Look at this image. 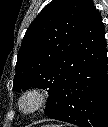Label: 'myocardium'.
Listing matches in <instances>:
<instances>
[{
    "label": "myocardium",
    "instance_id": "f54148a6",
    "mask_svg": "<svg viewBox=\"0 0 108 127\" xmlns=\"http://www.w3.org/2000/svg\"><path fill=\"white\" fill-rule=\"evenodd\" d=\"M47 102V94L40 87L33 86L24 90L17 100L19 111L25 115L34 114Z\"/></svg>",
    "mask_w": 108,
    "mask_h": 127
}]
</instances>
